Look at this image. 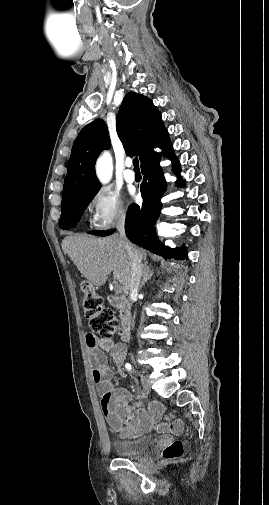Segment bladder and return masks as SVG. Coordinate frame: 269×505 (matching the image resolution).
<instances>
[{
	"label": "bladder",
	"instance_id": "31cf9c89",
	"mask_svg": "<svg viewBox=\"0 0 269 505\" xmlns=\"http://www.w3.org/2000/svg\"><path fill=\"white\" fill-rule=\"evenodd\" d=\"M154 443V438L147 435L134 440L114 441L113 448L121 457H137L152 448Z\"/></svg>",
	"mask_w": 269,
	"mask_h": 505
}]
</instances>
